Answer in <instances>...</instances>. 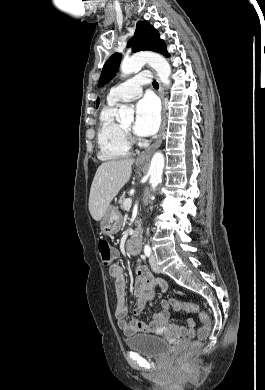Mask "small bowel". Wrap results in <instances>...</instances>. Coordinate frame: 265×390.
<instances>
[{"mask_svg": "<svg viewBox=\"0 0 265 390\" xmlns=\"http://www.w3.org/2000/svg\"><path fill=\"white\" fill-rule=\"evenodd\" d=\"M114 256H118V252L114 251ZM137 279L134 284V297L136 305L134 314L140 315L146 305L154 297V287L158 286L162 291L167 290V283L163 279L154 278L148 269L143 265H138ZM109 275L115 279L116 305L115 317L118 327L126 334L133 335L136 333H161L167 326L170 316V304L167 300H162L160 310L152 315L151 321L145 323L138 319L127 320V303H126V280L124 268L118 264H114L109 268ZM174 331L180 335L192 338L195 336V322L189 318L185 325L175 326Z\"/></svg>", "mask_w": 265, "mask_h": 390, "instance_id": "c3829d8e", "label": "small bowel"}]
</instances>
